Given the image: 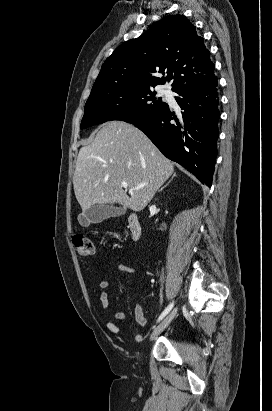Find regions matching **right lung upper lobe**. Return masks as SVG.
<instances>
[{"label":"right lung upper lobe","mask_w":272,"mask_h":411,"mask_svg":"<svg viewBox=\"0 0 272 411\" xmlns=\"http://www.w3.org/2000/svg\"><path fill=\"white\" fill-rule=\"evenodd\" d=\"M204 40L184 15L167 16L136 39L120 45L104 62L92 91L117 86L155 87L173 79L174 92L214 78ZM159 72L166 77H156Z\"/></svg>","instance_id":"right-lung-upper-lobe-1"}]
</instances>
